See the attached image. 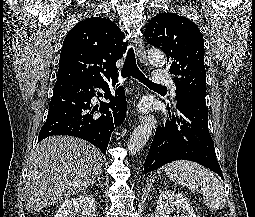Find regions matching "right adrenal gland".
Returning a JSON list of instances; mask_svg holds the SVG:
<instances>
[{
    "label": "right adrenal gland",
    "instance_id": "2a0ac1e0",
    "mask_svg": "<svg viewBox=\"0 0 255 217\" xmlns=\"http://www.w3.org/2000/svg\"><path fill=\"white\" fill-rule=\"evenodd\" d=\"M98 181L99 183H101V177H98L97 180H95V182ZM94 183V182H93Z\"/></svg>",
    "mask_w": 255,
    "mask_h": 217
}]
</instances>
